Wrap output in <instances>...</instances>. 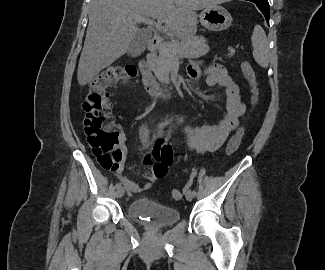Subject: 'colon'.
Listing matches in <instances>:
<instances>
[{
    "mask_svg": "<svg viewBox=\"0 0 325 270\" xmlns=\"http://www.w3.org/2000/svg\"><path fill=\"white\" fill-rule=\"evenodd\" d=\"M244 77L251 88V103L256 105L259 98V89L255 72L248 61L241 62ZM134 67H109L94 77L87 89L82 104L84 117V130L88 143L99 164L109 170L117 169L119 165L118 132L115 127L110 102L109 88L118 82H125L136 75ZM244 128L240 127L230 138L226 153L235 152L242 141ZM182 192L174 189L171 198L174 201L182 199Z\"/></svg>",
    "mask_w": 325,
    "mask_h": 270,
    "instance_id": "colon-1",
    "label": "colon"
}]
</instances>
